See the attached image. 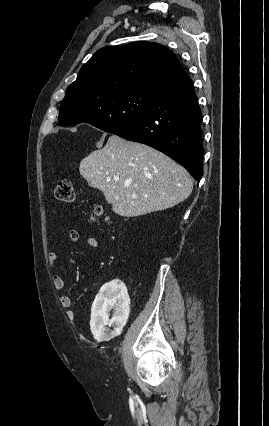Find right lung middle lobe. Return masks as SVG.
<instances>
[{
	"label": "right lung middle lobe",
	"instance_id": "right-lung-middle-lobe-1",
	"mask_svg": "<svg viewBox=\"0 0 269 426\" xmlns=\"http://www.w3.org/2000/svg\"><path fill=\"white\" fill-rule=\"evenodd\" d=\"M156 92L140 89L105 93L84 98L66 95L60 105L58 120L63 125L88 123L111 132L142 115L153 102Z\"/></svg>",
	"mask_w": 269,
	"mask_h": 426
}]
</instances>
